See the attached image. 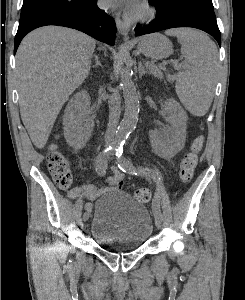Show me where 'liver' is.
Wrapping results in <instances>:
<instances>
[{
  "label": "liver",
  "mask_w": 245,
  "mask_h": 300,
  "mask_svg": "<svg viewBox=\"0 0 245 300\" xmlns=\"http://www.w3.org/2000/svg\"><path fill=\"white\" fill-rule=\"evenodd\" d=\"M96 41L79 31L45 26L29 33L16 53L22 122L42 149L69 96L87 78Z\"/></svg>",
  "instance_id": "liver-1"
}]
</instances>
